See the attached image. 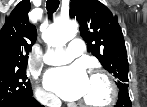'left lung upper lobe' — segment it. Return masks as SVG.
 <instances>
[{
    "label": "left lung upper lobe",
    "instance_id": "5c2ea615",
    "mask_svg": "<svg viewBox=\"0 0 147 107\" xmlns=\"http://www.w3.org/2000/svg\"><path fill=\"white\" fill-rule=\"evenodd\" d=\"M70 17L78 20L88 51L118 79V88L128 87L127 52L117 18L98 0H71Z\"/></svg>",
    "mask_w": 147,
    "mask_h": 107
}]
</instances>
